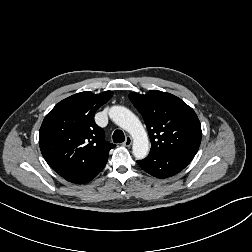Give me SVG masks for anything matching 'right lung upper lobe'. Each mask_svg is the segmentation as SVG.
<instances>
[{
  "instance_id": "cb5924a9",
  "label": "right lung upper lobe",
  "mask_w": 252,
  "mask_h": 252,
  "mask_svg": "<svg viewBox=\"0 0 252 252\" xmlns=\"http://www.w3.org/2000/svg\"><path fill=\"white\" fill-rule=\"evenodd\" d=\"M112 95V91L77 93L55 105L44 118L40 149L49 166L63 178L106 164L109 150L115 145L105 141L94 114Z\"/></svg>"
}]
</instances>
